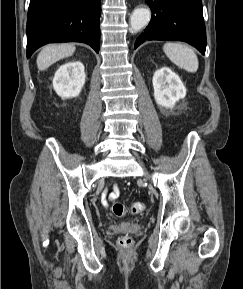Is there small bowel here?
Returning a JSON list of instances; mask_svg holds the SVG:
<instances>
[{
	"mask_svg": "<svg viewBox=\"0 0 243 289\" xmlns=\"http://www.w3.org/2000/svg\"><path fill=\"white\" fill-rule=\"evenodd\" d=\"M118 196H119V188L117 185H114L113 191L108 194L107 199L110 201H114L118 198ZM107 199H106V193H104V195H103V204L104 205L108 204Z\"/></svg>",
	"mask_w": 243,
	"mask_h": 289,
	"instance_id": "small-bowel-1",
	"label": "small bowel"
}]
</instances>
